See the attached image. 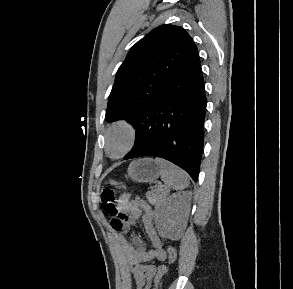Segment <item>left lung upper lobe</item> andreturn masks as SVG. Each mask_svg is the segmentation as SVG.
<instances>
[{
	"label": "left lung upper lobe",
	"instance_id": "5c2ea615",
	"mask_svg": "<svg viewBox=\"0 0 293 289\" xmlns=\"http://www.w3.org/2000/svg\"><path fill=\"white\" fill-rule=\"evenodd\" d=\"M198 59L197 47L185 29L170 24L156 27L130 49L119 67L106 120L125 119L134 125Z\"/></svg>",
	"mask_w": 293,
	"mask_h": 289
}]
</instances>
